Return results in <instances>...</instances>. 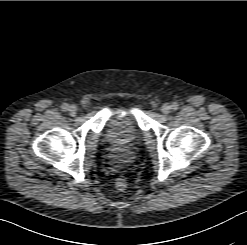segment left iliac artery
Listing matches in <instances>:
<instances>
[{
	"mask_svg": "<svg viewBox=\"0 0 247 245\" xmlns=\"http://www.w3.org/2000/svg\"><path fill=\"white\" fill-rule=\"evenodd\" d=\"M171 107L173 110H177L179 108V104L177 102H173Z\"/></svg>",
	"mask_w": 247,
	"mask_h": 245,
	"instance_id": "left-iliac-artery-1",
	"label": "left iliac artery"
}]
</instances>
